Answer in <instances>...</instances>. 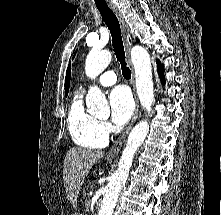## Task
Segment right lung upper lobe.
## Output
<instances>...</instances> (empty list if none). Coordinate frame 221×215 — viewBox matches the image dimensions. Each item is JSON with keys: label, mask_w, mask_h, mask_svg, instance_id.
Listing matches in <instances>:
<instances>
[{"label": "right lung upper lobe", "mask_w": 221, "mask_h": 215, "mask_svg": "<svg viewBox=\"0 0 221 215\" xmlns=\"http://www.w3.org/2000/svg\"><path fill=\"white\" fill-rule=\"evenodd\" d=\"M70 78H71V66L69 64L66 72V79H65V95L67 96L69 91V84H70Z\"/></svg>", "instance_id": "obj_1"}]
</instances>
